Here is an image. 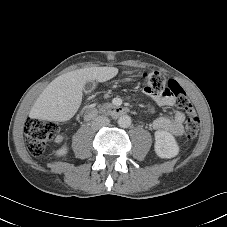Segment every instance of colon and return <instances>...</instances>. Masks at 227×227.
Returning a JSON list of instances; mask_svg holds the SVG:
<instances>
[{"instance_id": "obj_1", "label": "colon", "mask_w": 227, "mask_h": 227, "mask_svg": "<svg viewBox=\"0 0 227 227\" xmlns=\"http://www.w3.org/2000/svg\"><path fill=\"white\" fill-rule=\"evenodd\" d=\"M142 80L144 85H149L157 91V96H161L164 89L172 92L177 106L188 114L185 135L189 139L195 138L199 132L200 120L183 88L175 81H167L156 71L144 73ZM24 132L28 150L33 156H39L44 152L47 144L59 135L60 127L54 122L29 119L25 124Z\"/></svg>"}]
</instances>
